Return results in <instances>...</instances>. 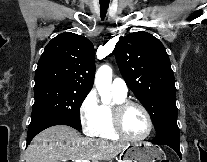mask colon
<instances>
[{
  "label": "colon",
  "mask_w": 207,
  "mask_h": 162,
  "mask_svg": "<svg viewBox=\"0 0 207 162\" xmlns=\"http://www.w3.org/2000/svg\"><path fill=\"white\" fill-rule=\"evenodd\" d=\"M159 162H170V161H168V160H161V161H159Z\"/></svg>",
  "instance_id": "5ec220e1"
}]
</instances>
